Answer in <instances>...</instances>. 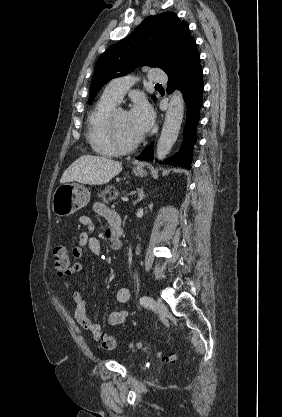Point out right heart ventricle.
Returning a JSON list of instances; mask_svg holds the SVG:
<instances>
[{
	"mask_svg": "<svg viewBox=\"0 0 282 417\" xmlns=\"http://www.w3.org/2000/svg\"><path fill=\"white\" fill-rule=\"evenodd\" d=\"M117 104V102L102 96L88 119V140L93 149L103 155H112L118 151L101 128L102 122Z\"/></svg>",
	"mask_w": 282,
	"mask_h": 417,
	"instance_id": "right-heart-ventricle-1",
	"label": "right heart ventricle"
}]
</instances>
